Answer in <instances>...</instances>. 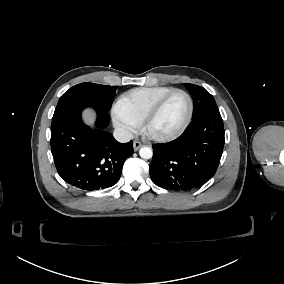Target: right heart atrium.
Returning a JSON list of instances; mask_svg holds the SVG:
<instances>
[{
  "label": "right heart atrium",
  "instance_id": "obj_1",
  "mask_svg": "<svg viewBox=\"0 0 284 284\" xmlns=\"http://www.w3.org/2000/svg\"><path fill=\"white\" fill-rule=\"evenodd\" d=\"M111 117L114 127L123 137L131 138L137 133L139 126L134 119L123 115L116 110L112 111Z\"/></svg>",
  "mask_w": 284,
  "mask_h": 284
}]
</instances>
